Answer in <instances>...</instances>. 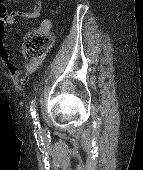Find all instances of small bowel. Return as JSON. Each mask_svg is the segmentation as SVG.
Instances as JSON below:
<instances>
[{
    "label": "small bowel",
    "instance_id": "obj_1",
    "mask_svg": "<svg viewBox=\"0 0 143 170\" xmlns=\"http://www.w3.org/2000/svg\"><path fill=\"white\" fill-rule=\"evenodd\" d=\"M44 8V3L42 1L36 2L32 9L26 12L16 11L13 14L7 16L3 21H0V57L2 58L4 64L6 65L10 74L16 78H20L22 83L28 80L29 75L36 72L40 67L43 60H35L27 62L22 68L18 67L11 59L9 52L4 48V43L6 41L5 29L8 25H13L16 23L17 19H23L25 21H31L37 19L41 16L42 10ZM51 28V22L49 20L42 21L40 25V30L47 32Z\"/></svg>",
    "mask_w": 143,
    "mask_h": 170
}]
</instances>
